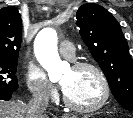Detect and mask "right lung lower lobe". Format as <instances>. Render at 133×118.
I'll return each mask as SVG.
<instances>
[{
	"mask_svg": "<svg viewBox=\"0 0 133 118\" xmlns=\"http://www.w3.org/2000/svg\"><path fill=\"white\" fill-rule=\"evenodd\" d=\"M12 96V93L11 94H7V95H0V100H10Z\"/></svg>",
	"mask_w": 133,
	"mask_h": 118,
	"instance_id": "right-lung-lower-lobe-1",
	"label": "right lung lower lobe"
}]
</instances>
